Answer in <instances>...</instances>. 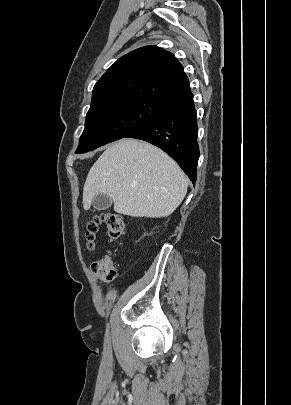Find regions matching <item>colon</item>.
<instances>
[{"instance_id":"colon-1","label":"colon","mask_w":291,"mask_h":405,"mask_svg":"<svg viewBox=\"0 0 291 405\" xmlns=\"http://www.w3.org/2000/svg\"><path fill=\"white\" fill-rule=\"evenodd\" d=\"M101 224L106 225L107 233L111 240L119 239L125 230V221L118 213H105L94 216L86 223L85 227L87 247L90 250L95 248V238ZM92 272L102 282H112L117 277L113 260L109 255L95 261L92 264Z\"/></svg>"}]
</instances>
